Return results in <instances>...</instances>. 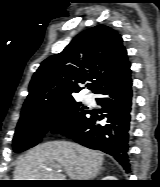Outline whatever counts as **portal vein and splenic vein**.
<instances>
[{"mask_svg":"<svg viewBox=\"0 0 160 187\" xmlns=\"http://www.w3.org/2000/svg\"><path fill=\"white\" fill-rule=\"evenodd\" d=\"M61 170L59 169L58 172H60ZM60 177H64L63 175H60Z\"/></svg>","mask_w":160,"mask_h":187,"instance_id":"18ae733b","label":"portal vein and splenic vein"}]
</instances>
